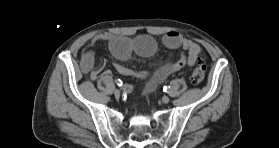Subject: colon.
<instances>
[{
    "instance_id": "5ec220e1",
    "label": "colon",
    "mask_w": 279,
    "mask_h": 148,
    "mask_svg": "<svg viewBox=\"0 0 279 148\" xmlns=\"http://www.w3.org/2000/svg\"><path fill=\"white\" fill-rule=\"evenodd\" d=\"M205 73H206V65H205L204 61L200 59L192 71V74L190 77L191 82L194 85L200 84L204 80Z\"/></svg>"
}]
</instances>
